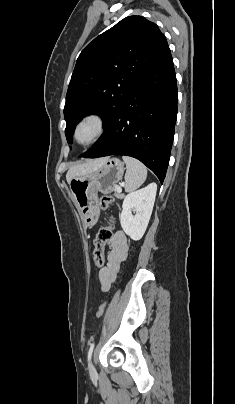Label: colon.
<instances>
[{
    "mask_svg": "<svg viewBox=\"0 0 235 404\" xmlns=\"http://www.w3.org/2000/svg\"><path fill=\"white\" fill-rule=\"evenodd\" d=\"M114 198L109 195H103L100 198V206L102 209L106 210L112 205ZM114 225L111 223L107 226H103L99 229L97 236L94 241V253L93 260L96 267H101L105 261V246L113 237ZM106 309V303L99 306L96 312V317L100 318L103 316Z\"/></svg>",
    "mask_w": 235,
    "mask_h": 404,
    "instance_id": "obj_1",
    "label": "colon"
}]
</instances>
